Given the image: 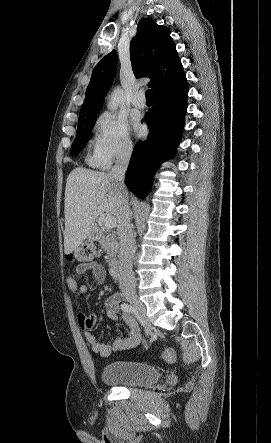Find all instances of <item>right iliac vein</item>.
<instances>
[{
    "mask_svg": "<svg viewBox=\"0 0 271 443\" xmlns=\"http://www.w3.org/2000/svg\"><path fill=\"white\" fill-rule=\"evenodd\" d=\"M126 299L128 302H130L141 314V316L145 317L146 314V308L144 306V304L142 303V301L138 298V296L136 294H128L126 296ZM151 333V326L148 325L147 328V335H149Z\"/></svg>",
    "mask_w": 271,
    "mask_h": 443,
    "instance_id": "63e3f726",
    "label": "right iliac vein"
}]
</instances>
